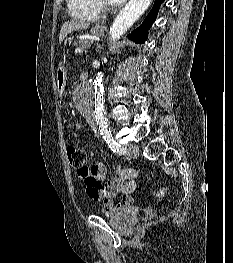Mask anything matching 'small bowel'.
I'll return each mask as SVG.
<instances>
[{"instance_id":"obj_1","label":"small bowel","mask_w":233,"mask_h":263,"mask_svg":"<svg viewBox=\"0 0 233 263\" xmlns=\"http://www.w3.org/2000/svg\"><path fill=\"white\" fill-rule=\"evenodd\" d=\"M88 168V175L81 177L85 184L88 197L94 201L102 202V212L111 215L115 211L131 207L133 200L131 194L138 185V174L132 168H119L116 178L108 179V168L105 163H97ZM122 196L114 204V199Z\"/></svg>"}]
</instances>
